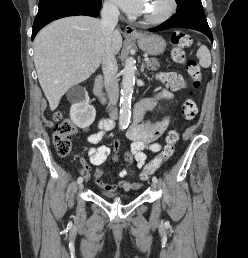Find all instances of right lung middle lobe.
Instances as JSON below:
<instances>
[{
  "instance_id": "1",
  "label": "right lung middle lobe",
  "mask_w": 248,
  "mask_h": 258,
  "mask_svg": "<svg viewBox=\"0 0 248 258\" xmlns=\"http://www.w3.org/2000/svg\"><path fill=\"white\" fill-rule=\"evenodd\" d=\"M46 1H49V0H40L39 4L44 3Z\"/></svg>"
}]
</instances>
